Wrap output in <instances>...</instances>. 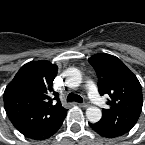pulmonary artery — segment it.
Segmentation results:
<instances>
[{
	"label": "pulmonary artery",
	"instance_id": "pulmonary-artery-1",
	"mask_svg": "<svg viewBox=\"0 0 145 145\" xmlns=\"http://www.w3.org/2000/svg\"><path fill=\"white\" fill-rule=\"evenodd\" d=\"M88 96L91 101L94 102L97 106H102L104 104V101L100 97L97 88L93 82H89L88 84Z\"/></svg>",
	"mask_w": 145,
	"mask_h": 145
}]
</instances>
